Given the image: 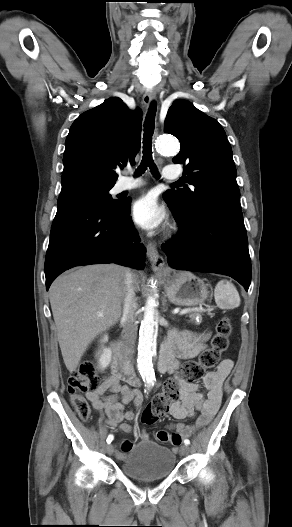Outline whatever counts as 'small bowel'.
<instances>
[{
	"label": "small bowel",
	"instance_id": "1",
	"mask_svg": "<svg viewBox=\"0 0 292 527\" xmlns=\"http://www.w3.org/2000/svg\"><path fill=\"white\" fill-rule=\"evenodd\" d=\"M206 335H196L188 331H172L164 344L170 360L168 371L174 372L182 359L195 357L205 348ZM233 363L230 359L223 360L216 370L208 372L203 378V385L207 390L206 395L199 392L198 385L183 381L179 376L169 379L176 383L175 400L169 405V414L176 420H184L195 415L199 411L201 415L196 421V426L206 425L219 409L222 398V386L225 378L229 375ZM123 379L113 374L105 380L96 391L88 392L87 398L93 408L105 415V422L113 429L118 428L125 433H131L133 427L126 421L133 420V411L124 410V406L130 402L139 407L142 402L141 395L131 387L122 384ZM175 431H159L157 439L167 442L173 446L181 443L184 436L190 434L192 428L185 427L183 423L170 425ZM143 441L148 440L146 432L141 433ZM132 444L125 441L122 444V452L129 451Z\"/></svg>",
	"mask_w": 292,
	"mask_h": 527
}]
</instances>
